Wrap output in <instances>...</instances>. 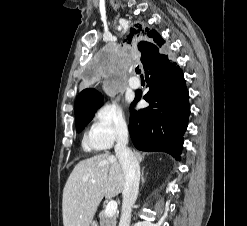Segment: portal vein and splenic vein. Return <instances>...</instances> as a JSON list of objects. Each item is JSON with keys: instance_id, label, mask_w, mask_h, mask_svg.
<instances>
[{"instance_id": "1", "label": "portal vein and splenic vein", "mask_w": 247, "mask_h": 226, "mask_svg": "<svg viewBox=\"0 0 247 226\" xmlns=\"http://www.w3.org/2000/svg\"><path fill=\"white\" fill-rule=\"evenodd\" d=\"M94 182V180H92ZM117 212V202L116 201H110L105 209V214L107 216H113Z\"/></svg>"}]
</instances>
